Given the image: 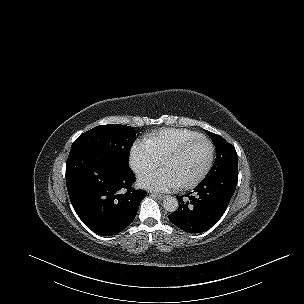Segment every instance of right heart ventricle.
Wrapping results in <instances>:
<instances>
[{
    "label": "right heart ventricle",
    "mask_w": 304,
    "mask_h": 304,
    "mask_svg": "<svg viewBox=\"0 0 304 304\" xmlns=\"http://www.w3.org/2000/svg\"><path fill=\"white\" fill-rule=\"evenodd\" d=\"M198 136V132L189 129L164 128L150 134L148 143L157 156L164 160L178 147Z\"/></svg>",
    "instance_id": "e07e8e85"
}]
</instances>
